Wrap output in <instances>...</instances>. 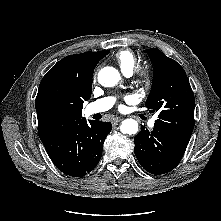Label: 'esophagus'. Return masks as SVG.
<instances>
[{
	"label": "esophagus",
	"instance_id": "obj_1",
	"mask_svg": "<svg viewBox=\"0 0 221 221\" xmlns=\"http://www.w3.org/2000/svg\"><path fill=\"white\" fill-rule=\"evenodd\" d=\"M122 121V118H115V119H113L112 120V123H113V125H117L119 122H121Z\"/></svg>",
	"mask_w": 221,
	"mask_h": 221
}]
</instances>
